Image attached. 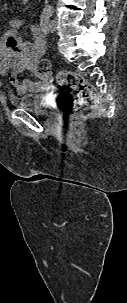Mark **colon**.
<instances>
[{"instance_id":"colon-1","label":"colon","mask_w":127,"mask_h":303,"mask_svg":"<svg viewBox=\"0 0 127 303\" xmlns=\"http://www.w3.org/2000/svg\"><path fill=\"white\" fill-rule=\"evenodd\" d=\"M50 69V62L47 59L39 61L37 71L40 75H47ZM55 82L62 89L59 102L65 113L74 114L96 105L97 93L81 74L62 70L56 74Z\"/></svg>"}]
</instances>
